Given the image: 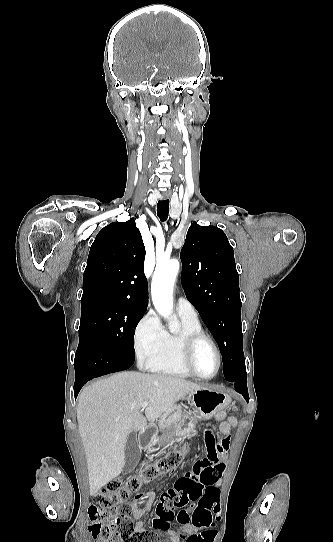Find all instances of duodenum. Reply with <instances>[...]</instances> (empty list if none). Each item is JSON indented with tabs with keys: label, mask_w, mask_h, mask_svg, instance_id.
I'll return each instance as SVG.
<instances>
[{
	"label": "duodenum",
	"mask_w": 333,
	"mask_h": 542,
	"mask_svg": "<svg viewBox=\"0 0 333 542\" xmlns=\"http://www.w3.org/2000/svg\"><path fill=\"white\" fill-rule=\"evenodd\" d=\"M139 443L142 448H148L150 446V439L147 436L142 435L140 437Z\"/></svg>",
	"instance_id": "1"
}]
</instances>
